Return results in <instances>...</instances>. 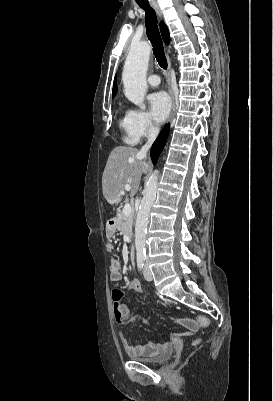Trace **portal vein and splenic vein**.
I'll return each instance as SVG.
<instances>
[{"mask_svg": "<svg viewBox=\"0 0 273 401\" xmlns=\"http://www.w3.org/2000/svg\"><path fill=\"white\" fill-rule=\"evenodd\" d=\"M130 188V184H125V190H130ZM120 194H125L124 190H121ZM122 213H124V215H131L132 207H130V205H125V207H123Z\"/></svg>", "mask_w": 273, "mask_h": 401, "instance_id": "portal-vein-and-splenic-vein-1", "label": "portal vein and splenic vein"}]
</instances>
